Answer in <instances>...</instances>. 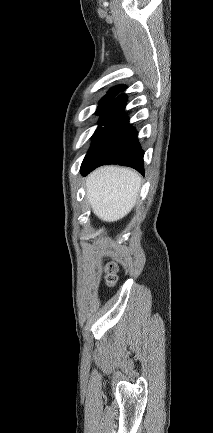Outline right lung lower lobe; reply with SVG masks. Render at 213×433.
<instances>
[{"instance_id": "1", "label": "right lung lower lobe", "mask_w": 213, "mask_h": 433, "mask_svg": "<svg viewBox=\"0 0 213 433\" xmlns=\"http://www.w3.org/2000/svg\"><path fill=\"white\" fill-rule=\"evenodd\" d=\"M125 105L126 95L122 94L100 113V125L81 165L83 175L105 164L129 166L144 174V152L137 140L136 130L123 116Z\"/></svg>"}]
</instances>
